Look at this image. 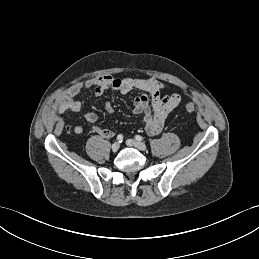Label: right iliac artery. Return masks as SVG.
<instances>
[{
    "label": "right iliac artery",
    "instance_id": "82829eb1",
    "mask_svg": "<svg viewBox=\"0 0 259 259\" xmlns=\"http://www.w3.org/2000/svg\"><path fill=\"white\" fill-rule=\"evenodd\" d=\"M117 140H118L119 143H121V142L123 141V135H122V134H119V135L117 136Z\"/></svg>",
    "mask_w": 259,
    "mask_h": 259
}]
</instances>
